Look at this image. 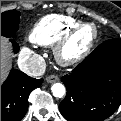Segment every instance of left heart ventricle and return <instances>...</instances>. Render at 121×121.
<instances>
[{
  "label": "left heart ventricle",
  "mask_w": 121,
  "mask_h": 121,
  "mask_svg": "<svg viewBox=\"0 0 121 121\" xmlns=\"http://www.w3.org/2000/svg\"><path fill=\"white\" fill-rule=\"evenodd\" d=\"M93 37V31L90 28L80 30L72 39L67 47V53L72 54L81 51Z\"/></svg>",
  "instance_id": "obj_1"
}]
</instances>
